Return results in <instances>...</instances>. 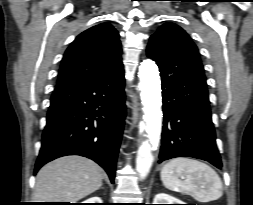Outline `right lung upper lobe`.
Segmentation results:
<instances>
[{
    "label": "right lung upper lobe",
    "instance_id": "cb5924a9",
    "mask_svg": "<svg viewBox=\"0 0 253 205\" xmlns=\"http://www.w3.org/2000/svg\"><path fill=\"white\" fill-rule=\"evenodd\" d=\"M119 34L110 23L82 32L62 59L56 89L99 79L122 67Z\"/></svg>",
    "mask_w": 253,
    "mask_h": 205
}]
</instances>
